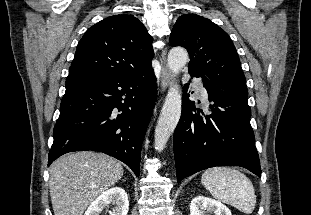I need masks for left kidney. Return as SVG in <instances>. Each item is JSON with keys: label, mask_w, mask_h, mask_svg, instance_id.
I'll use <instances>...</instances> for the list:
<instances>
[{"label": "left kidney", "mask_w": 311, "mask_h": 215, "mask_svg": "<svg viewBox=\"0 0 311 215\" xmlns=\"http://www.w3.org/2000/svg\"><path fill=\"white\" fill-rule=\"evenodd\" d=\"M232 215L229 208L219 201L205 196H196L190 204V215Z\"/></svg>", "instance_id": "5707ae66"}]
</instances>
